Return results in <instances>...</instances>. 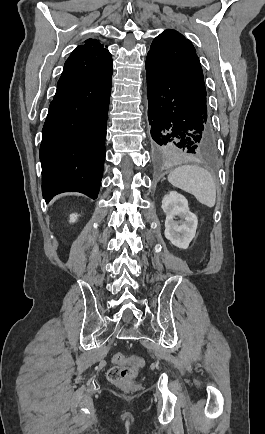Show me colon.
<instances>
[{"instance_id":"1","label":"colon","mask_w":265,"mask_h":434,"mask_svg":"<svg viewBox=\"0 0 265 434\" xmlns=\"http://www.w3.org/2000/svg\"><path fill=\"white\" fill-rule=\"evenodd\" d=\"M115 366L111 367L106 376L113 384L130 388L134 386L138 372L145 366V361L139 356L118 355L114 357Z\"/></svg>"}]
</instances>
